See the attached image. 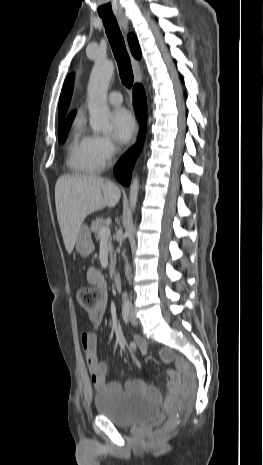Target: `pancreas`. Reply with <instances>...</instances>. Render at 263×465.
I'll return each instance as SVG.
<instances>
[{"label": "pancreas", "instance_id": "pancreas-1", "mask_svg": "<svg viewBox=\"0 0 263 465\" xmlns=\"http://www.w3.org/2000/svg\"><path fill=\"white\" fill-rule=\"evenodd\" d=\"M105 227L103 224V219L102 218H97L96 220L92 221L91 224V231L94 233L96 240H100V230ZM108 252H109V258H110V264H109V270L112 273L114 270V265L116 262V257L113 254V245L112 241L109 238L108 239Z\"/></svg>", "mask_w": 263, "mask_h": 465}]
</instances>
